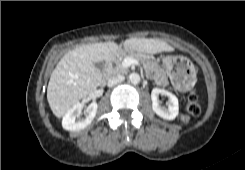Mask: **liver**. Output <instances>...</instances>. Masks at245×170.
Listing matches in <instances>:
<instances>
[{
  "label": "liver",
  "mask_w": 245,
  "mask_h": 170,
  "mask_svg": "<svg viewBox=\"0 0 245 170\" xmlns=\"http://www.w3.org/2000/svg\"><path fill=\"white\" fill-rule=\"evenodd\" d=\"M123 47L145 54L173 49L167 42L152 38L127 39ZM121 50L115 42H98L68 51L57 63L47 87V100L53 114L57 118L63 117L74 104L100 86L103 75L95 63L109 60Z\"/></svg>",
  "instance_id": "1"
}]
</instances>
